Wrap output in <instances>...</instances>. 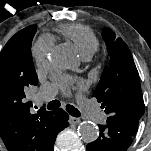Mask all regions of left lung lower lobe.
Returning a JSON list of instances; mask_svg holds the SVG:
<instances>
[{
    "mask_svg": "<svg viewBox=\"0 0 151 151\" xmlns=\"http://www.w3.org/2000/svg\"><path fill=\"white\" fill-rule=\"evenodd\" d=\"M99 128V138L87 145V151H126L132 143L133 136L111 124L99 125Z\"/></svg>",
    "mask_w": 151,
    "mask_h": 151,
    "instance_id": "0a47b994",
    "label": "left lung lower lobe"
}]
</instances>
